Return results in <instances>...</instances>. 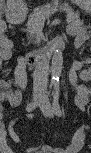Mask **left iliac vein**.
Segmentation results:
<instances>
[{"instance_id":"4c4485c4","label":"left iliac vein","mask_w":91,"mask_h":153,"mask_svg":"<svg viewBox=\"0 0 91 153\" xmlns=\"http://www.w3.org/2000/svg\"><path fill=\"white\" fill-rule=\"evenodd\" d=\"M40 107L46 117H53L55 111L47 95L43 97L42 104Z\"/></svg>"}]
</instances>
